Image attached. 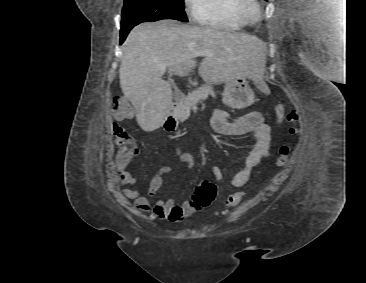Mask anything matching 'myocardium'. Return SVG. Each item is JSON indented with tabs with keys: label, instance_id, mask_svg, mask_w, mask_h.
Listing matches in <instances>:
<instances>
[{
	"label": "myocardium",
	"instance_id": "myocardium-1",
	"mask_svg": "<svg viewBox=\"0 0 366 283\" xmlns=\"http://www.w3.org/2000/svg\"><path fill=\"white\" fill-rule=\"evenodd\" d=\"M239 12L247 23H254L260 15V6L257 0H241Z\"/></svg>",
	"mask_w": 366,
	"mask_h": 283
}]
</instances>
